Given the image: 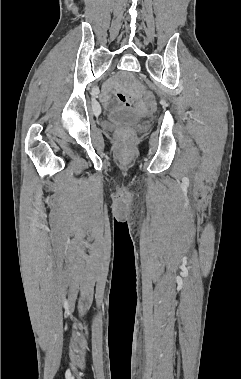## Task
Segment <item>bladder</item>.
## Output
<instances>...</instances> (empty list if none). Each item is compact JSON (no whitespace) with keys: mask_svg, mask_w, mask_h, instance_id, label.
Returning <instances> with one entry per match:
<instances>
[{"mask_svg":"<svg viewBox=\"0 0 241 379\" xmlns=\"http://www.w3.org/2000/svg\"><path fill=\"white\" fill-rule=\"evenodd\" d=\"M107 118L113 123H135L141 119V116L134 110L115 109L108 113Z\"/></svg>","mask_w":241,"mask_h":379,"instance_id":"31cf9c89","label":"bladder"}]
</instances>
